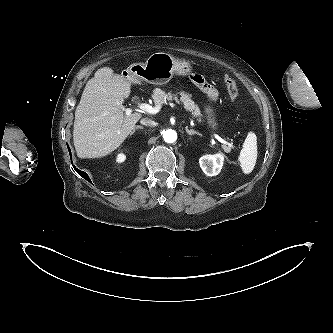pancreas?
<instances>
[{
  "label": "pancreas",
  "instance_id": "pancreas-1",
  "mask_svg": "<svg viewBox=\"0 0 333 333\" xmlns=\"http://www.w3.org/2000/svg\"><path fill=\"white\" fill-rule=\"evenodd\" d=\"M154 102L156 105L167 104V101L175 100L178 104H183L184 108L187 111H190L194 117H198L199 121L201 120V112L197 105H195L194 101L191 99V94L186 92H180V98H178L177 94H173L171 91L166 93L164 90L156 88L153 91L152 95ZM230 147H224L225 151H230Z\"/></svg>",
  "mask_w": 333,
  "mask_h": 333
}]
</instances>
